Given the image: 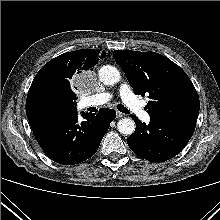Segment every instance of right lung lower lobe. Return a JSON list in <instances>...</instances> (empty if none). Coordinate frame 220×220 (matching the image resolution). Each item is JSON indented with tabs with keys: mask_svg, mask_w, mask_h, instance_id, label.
Instances as JSON below:
<instances>
[{
	"mask_svg": "<svg viewBox=\"0 0 220 220\" xmlns=\"http://www.w3.org/2000/svg\"><path fill=\"white\" fill-rule=\"evenodd\" d=\"M26 113L33 133L45 154L59 164H78L93 156L115 119L113 109L84 113L79 121L76 108L27 101Z\"/></svg>",
	"mask_w": 220,
	"mask_h": 220,
	"instance_id": "98d812e1",
	"label": "right lung lower lobe"
}]
</instances>
